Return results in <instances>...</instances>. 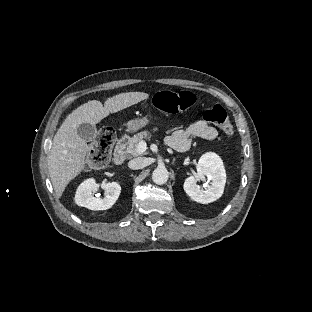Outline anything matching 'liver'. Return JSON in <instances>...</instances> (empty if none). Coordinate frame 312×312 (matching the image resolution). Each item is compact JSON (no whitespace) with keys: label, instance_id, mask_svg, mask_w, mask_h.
I'll use <instances>...</instances> for the list:
<instances>
[{"label":"liver","instance_id":"1","mask_svg":"<svg viewBox=\"0 0 312 312\" xmlns=\"http://www.w3.org/2000/svg\"><path fill=\"white\" fill-rule=\"evenodd\" d=\"M145 92L119 93L104 102L91 100L73 110L55 134L48 155L49 176L58 199L68 184L85 169V158L89 150L87 142L77 134L83 123L99 124L110 114L117 113L149 98Z\"/></svg>","mask_w":312,"mask_h":312}]
</instances>
